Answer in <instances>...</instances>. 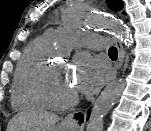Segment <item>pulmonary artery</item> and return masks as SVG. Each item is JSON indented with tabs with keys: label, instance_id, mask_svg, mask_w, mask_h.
I'll list each match as a JSON object with an SVG mask.
<instances>
[{
	"label": "pulmonary artery",
	"instance_id": "pulmonary-artery-1",
	"mask_svg": "<svg viewBox=\"0 0 151 131\" xmlns=\"http://www.w3.org/2000/svg\"><path fill=\"white\" fill-rule=\"evenodd\" d=\"M44 38L50 43L58 42L69 47L86 46L89 48H101L102 46V41L99 36L67 27L47 30L44 34Z\"/></svg>",
	"mask_w": 151,
	"mask_h": 131
}]
</instances>
